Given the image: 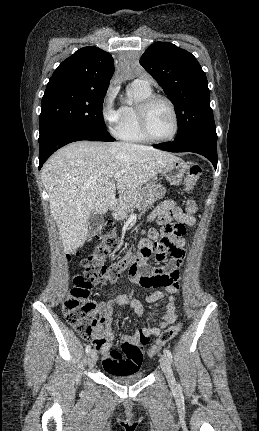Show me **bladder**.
Here are the masks:
<instances>
[{
	"mask_svg": "<svg viewBox=\"0 0 259 431\" xmlns=\"http://www.w3.org/2000/svg\"><path fill=\"white\" fill-rule=\"evenodd\" d=\"M106 373L111 380L120 384H131L144 379L146 376V374L143 371H130V372L106 371Z\"/></svg>",
	"mask_w": 259,
	"mask_h": 431,
	"instance_id": "bladder-1",
	"label": "bladder"
}]
</instances>
